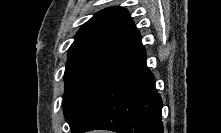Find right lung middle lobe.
Instances as JSON below:
<instances>
[{"label":"right lung middle lobe","instance_id":"dd1d6c3e","mask_svg":"<svg viewBox=\"0 0 221 133\" xmlns=\"http://www.w3.org/2000/svg\"><path fill=\"white\" fill-rule=\"evenodd\" d=\"M102 71H65L64 114L70 127L95 80Z\"/></svg>","mask_w":221,"mask_h":133}]
</instances>
